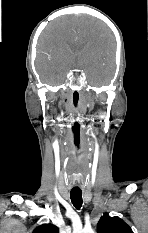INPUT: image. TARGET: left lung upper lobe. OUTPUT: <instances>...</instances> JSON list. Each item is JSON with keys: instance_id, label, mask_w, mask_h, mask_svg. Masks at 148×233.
Returning a JSON list of instances; mask_svg holds the SVG:
<instances>
[{"instance_id": "obj_1", "label": "left lung upper lobe", "mask_w": 148, "mask_h": 233, "mask_svg": "<svg viewBox=\"0 0 148 233\" xmlns=\"http://www.w3.org/2000/svg\"><path fill=\"white\" fill-rule=\"evenodd\" d=\"M98 233H133L129 225H127L119 217H110L105 213L97 224Z\"/></svg>"}]
</instances>
